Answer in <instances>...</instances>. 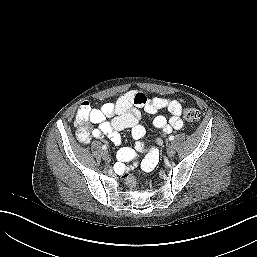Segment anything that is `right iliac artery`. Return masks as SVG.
<instances>
[{"label": "right iliac artery", "instance_id": "right-iliac-artery-1", "mask_svg": "<svg viewBox=\"0 0 257 257\" xmlns=\"http://www.w3.org/2000/svg\"><path fill=\"white\" fill-rule=\"evenodd\" d=\"M102 149H103V150H106V149H107V146H106V145H103V146H102Z\"/></svg>", "mask_w": 257, "mask_h": 257}]
</instances>
